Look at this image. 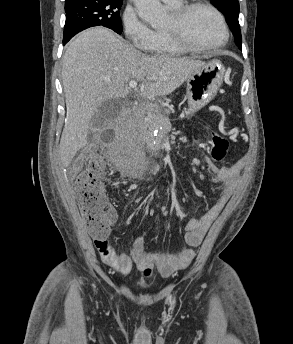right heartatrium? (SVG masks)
<instances>
[{
  "label": "right heart atrium",
  "instance_id": "1",
  "mask_svg": "<svg viewBox=\"0 0 293 344\" xmlns=\"http://www.w3.org/2000/svg\"><path fill=\"white\" fill-rule=\"evenodd\" d=\"M122 30L130 45L137 51H147L152 45L156 31H154L136 10L127 6L121 17Z\"/></svg>",
  "mask_w": 293,
  "mask_h": 344
}]
</instances>
